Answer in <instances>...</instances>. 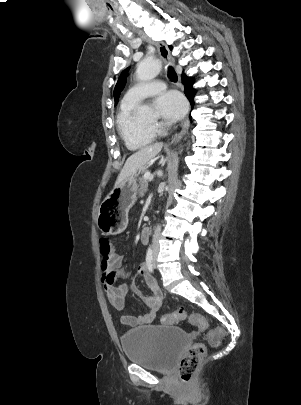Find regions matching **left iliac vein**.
Masks as SVG:
<instances>
[{"label": "left iliac vein", "mask_w": 301, "mask_h": 405, "mask_svg": "<svg viewBox=\"0 0 301 405\" xmlns=\"http://www.w3.org/2000/svg\"><path fill=\"white\" fill-rule=\"evenodd\" d=\"M153 266L154 268L156 267L155 259L153 260Z\"/></svg>", "instance_id": "obj_1"}]
</instances>
